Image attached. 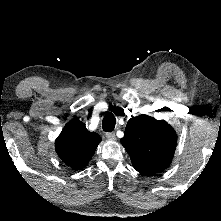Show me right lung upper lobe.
I'll return each instance as SVG.
<instances>
[{
  "instance_id": "1",
  "label": "right lung upper lobe",
  "mask_w": 221,
  "mask_h": 221,
  "mask_svg": "<svg viewBox=\"0 0 221 221\" xmlns=\"http://www.w3.org/2000/svg\"><path fill=\"white\" fill-rule=\"evenodd\" d=\"M101 138L86 129L80 121H70L55 141V149L61 160L74 170L83 169L91 160Z\"/></svg>"
}]
</instances>
